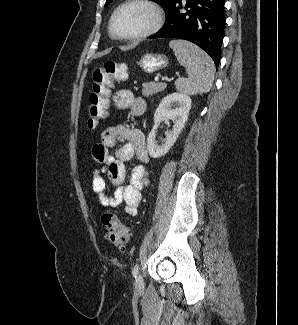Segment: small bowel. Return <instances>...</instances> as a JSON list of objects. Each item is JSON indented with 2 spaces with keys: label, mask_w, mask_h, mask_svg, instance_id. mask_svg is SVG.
Wrapping results in <instances>:
<instances>
[{
  "label": "small bowel",
  "mask_w": 298,
  "mask_h": 325,
  "mask_svg": "<svg viewBox=\"0 0 298 325\" xmlns=\"http://www.w3.org/2000/svg\"><path fill=\"white\" fill-rule=\"evenodd\" d=\"M113 104L118 109H129L131 115L140 116L145 111V102L135 98L131 91L122 89L114 93ZM126 141L115 153L110 149L117 142ZM92 157L98 166L93 171L92 187L97 193L99 202L103 207H117L125 205L124 210L134 215L141 202V191L149 184L147 163L149 154L144 133L135 128L124 125H115L106 128L101 134V141L92 148ZM135 159L137 164L133 167L129 181H125L124 162ZM107 176L114 186L113 193L106 192Z\"/></svg>",
  "instance_id": "small-bowel-1"
}]
</instances>
